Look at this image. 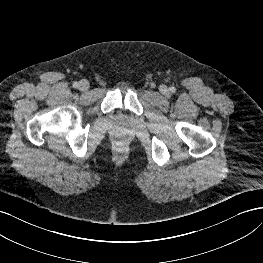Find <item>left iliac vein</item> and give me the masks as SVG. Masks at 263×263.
<instances>
[{
    "label": "left iliac vein",
    "mask_w": 263,
    "mask_h": 263,
    "mask_svg": "<svg viewBox=\"0 0 263 263\" xmlns=\"http://www.w3.org/2000/svg\"><path fill=\"white\" fill-rule=\"evenodd\" d=\"M161 92H162L163 94H165V95H167V94L169 93L167 87H165V86H163V87L161 88Z\"/></svg>",
    "instance_id": "4c4485c4"
}]
</instances>
